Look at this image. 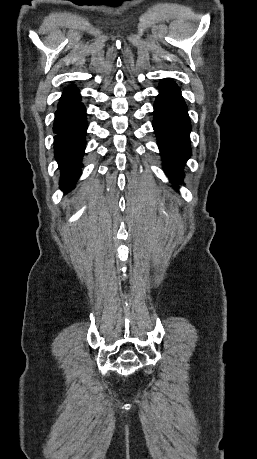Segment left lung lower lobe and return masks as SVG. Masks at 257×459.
Returning a JSON list of instances; mask_svg holds the SVG:
<instances>
[{"mask_svg":"<svg viewBox=\"0 0 257 459\" xmlns=\"http://www.w3.org/2000/svg\"><path fill=\"white\" fill-rule=\"evenodd\" d=\"M154 104L153 128L164 161L165 172L173 183H181L184 162L190 156L191 124L187 106L177 85L165 79Z\"/></svg>","mask_w":257,"mask_h":459,"instance_id":"1","label":"left lung lower lobe"}]
</instances>
